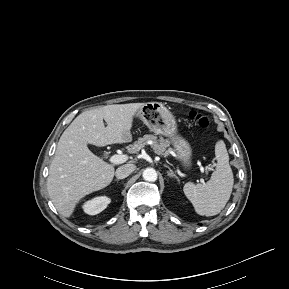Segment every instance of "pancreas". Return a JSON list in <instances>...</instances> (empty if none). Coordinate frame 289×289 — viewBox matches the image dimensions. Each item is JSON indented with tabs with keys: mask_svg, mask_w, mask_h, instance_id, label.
Wrapping results in <instances>:
<instances>
[{
	"mask_svg": "<svg viewBox=\"0 0 289 289\" xmlns=\"http://www.w3.org/2000/svg\"><path fill=\"white\" fill-rule=\"evenodd\" d=\"M151 142V147L154 152L158 155L168 156L169 150L167 149L169 146V142L164 140L162 137L157 140V137L154 135H145L143 138H139L133 144L127 147L129 153H138L142 148Z\"/></svg>",
	"mask_w": 289,
	"mask_h": 289,
	"instance_id": "obj_1",
	"label": "pancreas"
}]
</instances>
